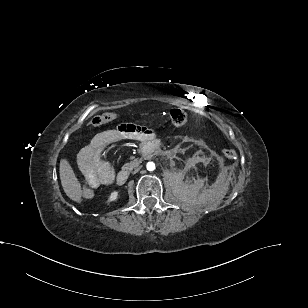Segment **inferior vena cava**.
Segmentation results:
<instances>
[{
	"mask_svg": "<svg viewBox=\"0 0 308 308\" xmlns=\"http://www.w3.org/2000/svg\"><path fill=\"white\" fill-rule=\"evenodd\" d=\"M138 171H139V168L135 169V170L133 171V173L135 174V173H137Z\"/></svg>",
	"mask_w": 308,
	"mask_h": 308,
	"instance_id": "602c4592",
	"label": "inferior vena cava"
}]
</instances>
